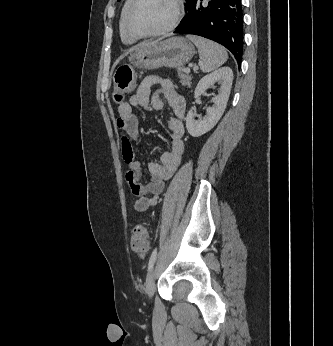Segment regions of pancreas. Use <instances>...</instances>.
Returning <instances> with one entry per match:
<instances>
[{"instance_id":"obj_1","label":"pancreas","mask_w":333,"mask_h":346,"mask_svg":"<svg viewBox=\"0 0 333 346\" xmlns=\"http://www.w3.org/2000/svg\"><path fill=\"white\" fill-rule=\"evenodd\" d=\"M177 72H178V77H179L182 85L190 87L192 77L189 74H185L183 68H178Z\"/></svg>"}]
</instances>
